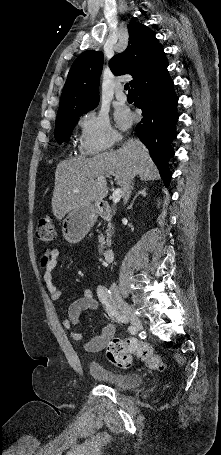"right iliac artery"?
<instances>
[{
	"instance_id": "right-iliac-artery-1",
	"label": "right iliac artery",
	"mask_w": 221,
	"mask_h": 455,
	"mask_svg": "<svg viewBox=\"0 0 221 455\" xmlns=\"http://www.w3.org/2000/svg\"><path fill=\"white\" fill-rule=\"evenodd\" d=\"M97 295L100 302L103 304L106 312L112 319H115L116 321L122 323L126 322L127 320L126 316L119 313L117 305L112 298L110 290H108L104 286H99L97 289ZM128 329L130 334L134 335L136 334V329H133L132 326H130Z\"/></svg>"
}]
</instances>
